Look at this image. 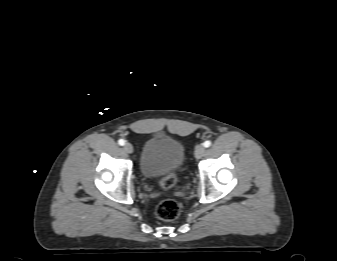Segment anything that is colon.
I'll list each match as a JSON object with an SVG mask.
<instances>
[{"label":"colon","instance_id":"5ec220e1","mask_svg":"<svg viewBox=\"0 0 337 261\" xmlns=\"http://www.w3.org/2000/svg\"><path fill=\"white\" fill-rule=\"evenodd\" d=\"M177 183L176 174L172 173L160 181V186L164 189H170L174 187ZM180 204L173 199H167L160 202L156 207V215L158 218L171 221L176 219L180 214Z\"/></svg>","mask_w":337,"mask_h":261}]
</instances>
